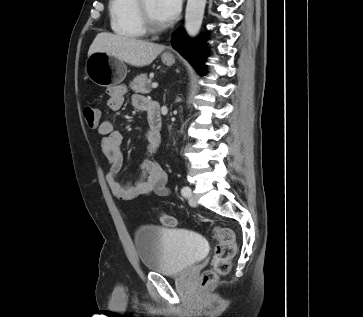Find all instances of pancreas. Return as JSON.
Masks as SVG:
<instances>
[{
  "label": "pancreas",
  "mask_w": 363,
  "mask_h": 317,
  "mask_svg": "<svg viewBox=\"0 0 363 317\" xmlns=\"http://www.w3.org/2000/svg\"><path fill=\"white\" fill-rule=\"evenodd\" d=\"M151 80L148 79L147 74L137 75L133 81L130 82L129 87L135 92L147 94L150 93Z\"/></svg>",
  "instance_id": "cf45deb5"
}]
</instances>
